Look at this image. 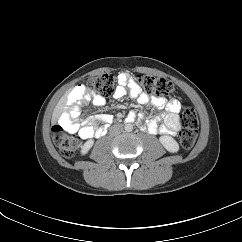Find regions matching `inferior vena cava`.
Returning <instances> with one entry per match:
<instances>
[{
	"label": "inferior vena cava",
	"instance_id": "1",
	"mask_svg": "<svg viewBox=\"0 0 242 242\" xmlns=\"http://www.w3.org/2000/svg\"><path fill=\"white\" fill-rule=\"evenodd\" d=\"M123 131V128L119 125H114L112 128H111V134L112 135H118L120 134L121 132Z\"/></svg>",
	"mask_w": 242,
	"mask_h": 242
}]
</instances>
